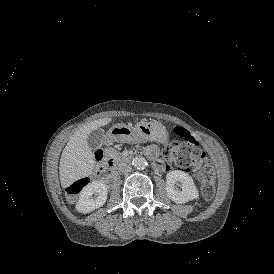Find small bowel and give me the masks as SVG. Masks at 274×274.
I'll use <instances>...</instances> for the list:
<instances>
[{"instance_id": "obj_1", "label": "small bowel", "mask_w": 274, "mask_h": 274, "mask_svg": "<svg viewBox=\"0 0 274 274\" xmlns=\"http://www.w3.org/2000/svg\"><path fill=\"white\" fill-rule=\"evenodd\" d=\"M157 150L154 146H148L147 147V154L149 157L154 158L156 156Z\"/></svg>"}]
</instances>
